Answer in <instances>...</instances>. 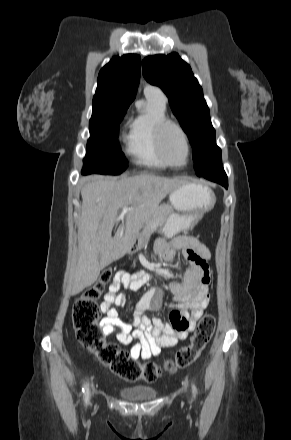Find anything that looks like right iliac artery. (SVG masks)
<instances>
[{"label":"right iliac artery","mask_w":291,"mask_h":440,"mask_svg":"<svg viewBox=\"0 0 291 440\" xmlns=\"http://www.w3.org/2000/svg\"><path fill=\"white\" fill-rule=\"evenodd\" d=\"M86 403L89 401V384L86 383L83 388Z\"/></svg>","instance_id":"1"}]
</instances>
